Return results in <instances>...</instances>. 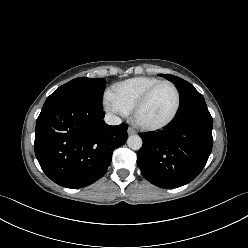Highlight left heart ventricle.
<instances>
[{"label": "left heart ventricle", "mask_w": 248, "mask_h": 248, "mask_svg": "<svg viewBox=\"0 0 248 248\" xmlns=\"http://www.w3.org/2000/svg\"><path fill=\"white\" fill-rule=\"evenodd\" d=\"M175 92L170 85H162L155 90L140 113L141 119L150 124L165 121L175 106Z\"/></svg>", "instance_id": "b2bd125f"}]
</instances>
